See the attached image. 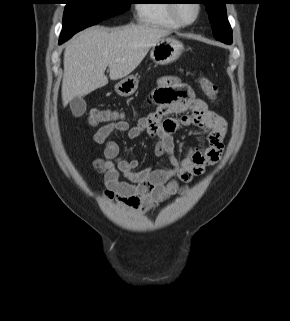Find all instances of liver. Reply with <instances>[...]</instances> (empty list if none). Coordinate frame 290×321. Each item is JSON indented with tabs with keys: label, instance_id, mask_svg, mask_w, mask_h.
<instances>
[{
	"label": "liver",
	"instance_id": "1",
	"mask_svg": "<svg viewBox=\"0 0 290 321\" xmlns=\"http://www.w3.org/2000/svg\"><path fill=\"white\" fill-rule=\"evenodd\" d=\"M170 32L154 26L117 28L89 27L68 42L64 52L62 101L65 107L82 97L133 72L162 37Z\"/></svg>",
	"mask_w": 290,
	"mask_h": 321
}]
</instances>
